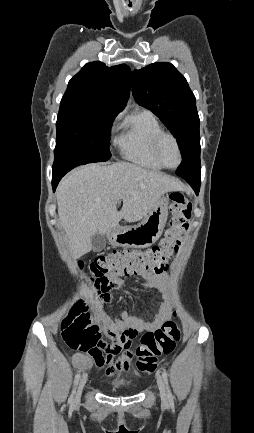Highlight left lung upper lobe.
<instances>
[{"mask_svg":"<svg viewBox=\"0 0 254 433\" xmlns=\"http://www.w3.org/2000/svg\"><path fill=\"white\" fill-rule=\"evenodd\" d=\"M132 93L176 137L183 159L176 174L201 178L200 120L196 99L183 75L170 63H153L134 70Z\"/></svg>","mask_w":254,"mask_h":433,"instance_id":"1","label":"left lung upper lobe"}]
</instances>
